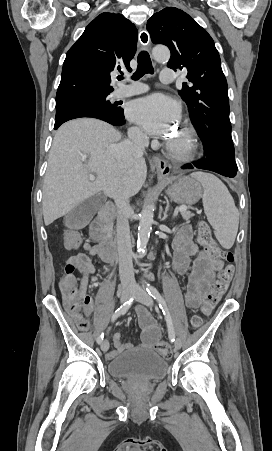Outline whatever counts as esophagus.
Here are the masks:
<instances>
[{"label":"esophagus","instance_id":"obj_1","mask_svg":"<svg viewBox=\"0 0 272 451\" xmlns=\"http://www.w3.org/2000/svg\"><path fill=\"white\" fill-rule=\"evenodd\" d=\"M139 42L144 47H147L150 43L149 34L144 29H140L139 31ZM152 163L155 165L158 173L162 177H167L169 175L171 166L163 158H160L159 156H153Z\"/></svg>","mask_w":272,"mask_h":451}]
</instances>
